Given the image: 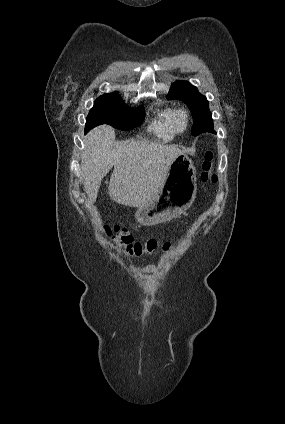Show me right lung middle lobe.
<instances>
[{
	"instance_id": "obj_1",
	"label": "right lung middle lobe",
	"mask_w": 285,
	"mask_h": 424,
	"mask_svg": "<svg viewBox=\"0 0 285 424\" xmlns=\"http://www.w3.org/2000/svg\"><path fill=\"white\" fill-rule=\"evenodd\" d=\"M144 108L131 109L126 106L117 92L104 94L96 99L85 125V132L101 124H109L120 130H131L144 119Z\"/></svg>"
}]
</instances>
